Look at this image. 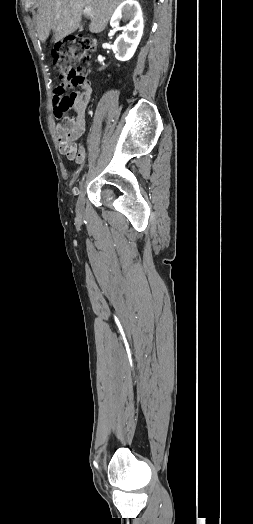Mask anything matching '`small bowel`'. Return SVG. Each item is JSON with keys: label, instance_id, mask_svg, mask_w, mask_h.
<instances>
[{"label": "small bowel", "instance_id": "c3829d8e", "mask_svg": "<svg viewBox=\"0 0 253 524\" xmlns=\"http://www.w3.org/2000/svg\"><path fill=\"white\" fill-rule=\"evenodd\" d=\"M61 85L54 90V103L61 98ZM91 96L85 97L82 93H74L75 127L66 131L61 125L56 126L60 152L76 164H81L86 156L84 146H77L75 141L80 138L86 128V112Z\"/></svg>", "mask_w": 253, "mask_h": 524}]
</instances>
